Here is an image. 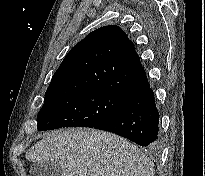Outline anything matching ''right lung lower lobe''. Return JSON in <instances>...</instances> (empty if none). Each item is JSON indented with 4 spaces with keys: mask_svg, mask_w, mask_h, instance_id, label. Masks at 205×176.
<instances>
[{
    "mask_svg": "<svg viewBox=\"0 0 205 176\" xmlns=\"http://www.w3.org/2000/svg\"><path fill=\"white\" fill-rule=\"evenodd\" d=\"M159 113L150 85L126 98L114 114L95 129L125 137L155 151L159 147Z\"/></svg>",
    "mask_w": 205,
    "mask_h": 176,
    "instance_id": "obj_1",
    "label": "right lung lower lobe"
}]
</instances>
